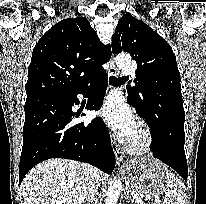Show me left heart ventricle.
Wrapping results in <instances>:
<instances>
[{"label": "left heart ventricle", "instance_id": "left-heart-ventricle-1", "mask_svg": "<svg viewBox=\"0 0 206 204\" xmlns=\"http://www.w3.org/2000/svg\"><path fill=\"white\" fill-rule=\"evenodd\" d=\"M135 133H136V128L134 129V131H133L132 135H134Z\"/></svg>", "mask_w": 206, "mask_h": 204}]
</instances>
